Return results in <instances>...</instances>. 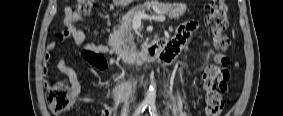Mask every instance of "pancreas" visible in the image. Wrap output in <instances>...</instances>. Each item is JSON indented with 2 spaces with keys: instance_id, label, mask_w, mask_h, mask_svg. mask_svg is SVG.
Masks as SVG:
<instances>
[{
  "instance_id": "obj_1",
  "label": "pancreas",
  "mask_w": 283,
  "mask_h": 116,
  "mask_svg": "<svg viewBox=\"0 0 283 116\" xmlns=\"http://www.w3.org/2000/svg\"><path fill=\"white\" fill-rule=\"evenodd\" d=\"M157 8V14H166L169 18L176 19L183 15L186 11V5L182 3L164 4L159 1H150L143 5H138L132 8L126 15H124L120 26L114 29L111 34V39L115 46L121 51H134L136 45L131 31L132 22L137 13H145L151 11L152 8Z\"/></svg>"
}]
</instances>
